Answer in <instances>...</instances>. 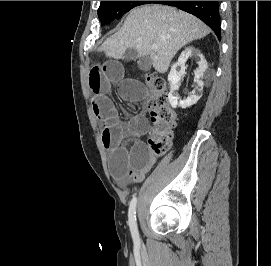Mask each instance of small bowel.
<instances>
[{"label":"small bowel","mask_w":271,"mask_h":266,"mask_svg":"<svg viewBox=\"0 0 271 266\" xmlns=\"http://www.w3.org/2000/svg\"><path fill=\"white\" fill-rule=\"evenodd\" d=\"M124 75V66L117 60L94 66L89 72L91 108L101 125L102 143L109 151L111 174L121 187L131 182H141L156 161L141 141L149 129L145 114L122 122L112 101L113 86L124 100L136 102L147 96L137 80L125 78ZM127 138L133 139L132 142H125Z\"/></svg>","instance_id":"1"}]
</instances>
